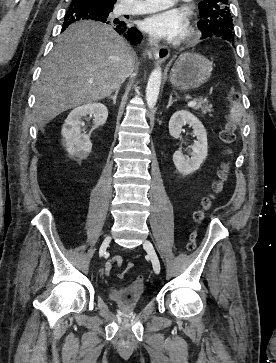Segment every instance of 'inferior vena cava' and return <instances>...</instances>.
Returning <instances> with one entry per match:
<instances>
[{
	"label": "inferior vena cava",
	"instance_id": "inferior-vena-cava-1",
	"mask_svg": "<svg viewBox=\"0 0 276 363\" xmlns=\"http://www.w3.org/2000/svg\"><path fill=\"white\" fill-rule=\"evenodd\" d=\"M154 40H155V39H151V40H150V43H153V42H154Z\"/></svg>",
	"mask_w": 276,
	"mask_h": 363
}]
</instances>
